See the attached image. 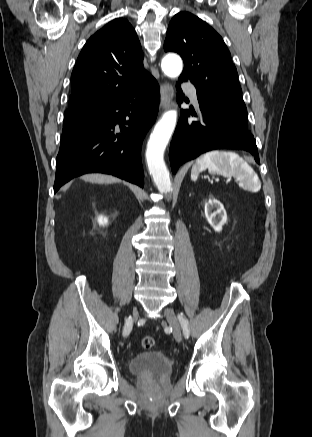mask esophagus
Returning <instances> with one entry per match:
<instances>
[{
	"mask_svg": "<svg viewBox=\"0 0 312 437\" xmlns=\"http://www.w3.org/2000/svg\"><path fill=\"white\" fill-rule=\"evenodd\" d=\"M160 94H161V109H167L174 95L173 86L170 83L160 84Z\"/></svg>",
	"mask_w": 312,
	"mask_h": 437,
	"instance_id": "1",
	"label": "esophagus"
}]
</instances>
